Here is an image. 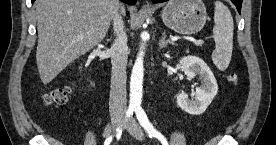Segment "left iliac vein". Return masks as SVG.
Returning a JSON list of instances; mask_svg holds the SVG:
<instances>
[{
	"label": "left iliac vein",
	"mask_w": 276,
	"mask_h": 145,
	"mask_svg": "<svg viewBox=\"0 0 276 145\" xmlns=\"http://www.w3.org/2000/svg\"><path fill=\"white\" fill-rule=\"evenodd\" d=\"M125 129H127L129 133L136 139L141 140L143 138V131L134 118H131L125 124Z\"/></svg>",
	"instance_id": "1"
}]
</instances>
